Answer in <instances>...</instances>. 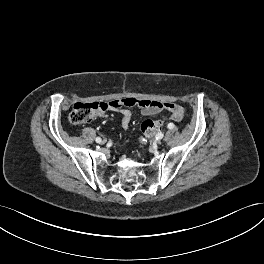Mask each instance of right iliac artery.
Here are the masks:
<instances>
[{
  "label": "right iliac artery",
  "mask_w": 264,
  "mask_h": 264,
  "mask_svg": "<svg viewBox=\"0 0 264 264\" xmlns=\"http://www.w3.org/2000/svg\"><path fill=\"white\" fill-rule=\"evenodd\" d=\"M96 142H97V143H100V142H101V138H100V137H97V138H96Z\"/></svg>",
  "instance_id": "right-iliac-artery-1"
}]
</instances>
